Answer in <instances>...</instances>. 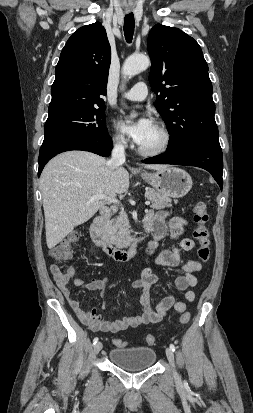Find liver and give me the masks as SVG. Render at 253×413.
Wrapping results in <instances>:
<instances>
[{"instance_id": "1", "label": "liver", "mask_w": 253, "mask_h": 413, "mask_svg": "<svg viewBox=\"0 0 253 413\" xmlns=\"http://www.w3.org/2000/svg\"><path fill=\"white\" fill-rule=\"evenodd\" d=\"M168 165L147 164L150 170ZM45 215L46 243L49 249L61 242L73 229L87 222L106 201L129 188L128 171L116 170L108 161L91 152L68 151L50 160L40 176ZM107 199L89 201L94 195Z\"/></svg>"}]
</instances>
